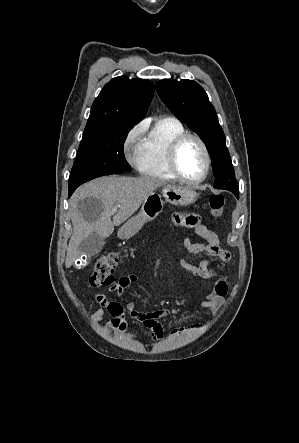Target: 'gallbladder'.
Instances as JSON below:
<instances>
[{
	"label": "gallbladder",
	"instance_id": "gallbladder-1",
	"mask_svg": "<svg viewBox=\"0 0 299 443\" xmlns=\"http://www.w3.org/2000/svg\"><path fill=\"white\" fill-rule=\"evenodd\" d=\"M105 245V240L98 234L93 233L85 238L79 245L78 251L80 255L84 256L87 262L91 257L98 254Z\"/></svg>",
	"mask_w": 299,
	"mask_h": 443
}]
</instances>
